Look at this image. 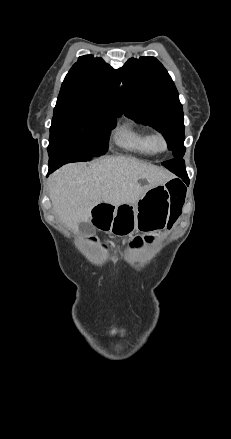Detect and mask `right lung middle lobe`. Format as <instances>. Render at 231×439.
Returning <instances> with one entry per match:
<instances>
[{
    "instance_id": "right-lung-middle-lobe-1",
    "label": "right lung middle lobe",
    "mask_w": 231,
    "mask_h": 439,
    "mask_svg": "<svg viewBox=\"0 0 231 439\" xmlns=\"http://www.w3.org/2000/svg\"><path fill=\"white\" fill-rule=\"evenodd\" d=\"M122 113L95 107L54 109L47 148L49 163L90 161L103 155L110 131Z\"/></svg>"
}]
</instances>
